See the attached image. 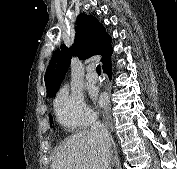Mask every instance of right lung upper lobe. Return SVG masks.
Masks as SVG:
<instances>
[{
    "mask_svg": "<svg viewBox=\"0 0 177 169\" xmlns=\"http://www.w3.org/2000/svg\"><path fill=\"white\" fill-rule=\"evenodd\" d=\"M80 23L75 35L74 44L68 49L61 45L54 53L45 73L47 95L54 96L70 66L71 55L87 59L93 55L102 56V68L111 63L112 38L104 26L93 15L79 14Z\"/></svg>",
    "mask_w": 177,
    "mask_h": 169,
    "instance_id": "cb5924a9",
    "label": "right lung upper lobe"
}]
</instances>
